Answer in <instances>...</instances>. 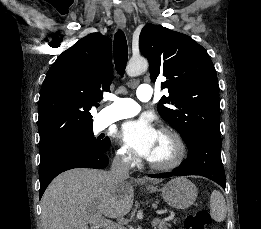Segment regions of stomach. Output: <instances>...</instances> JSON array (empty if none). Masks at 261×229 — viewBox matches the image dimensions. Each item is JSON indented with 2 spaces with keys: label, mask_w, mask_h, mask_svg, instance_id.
Wrapping results in <instances>:
<instances>
[{
  "label": "stomach",
  "mask_w": 261,
  "mask_h": 229,
  "mask_svg": "<svg viewBox=\"0 0 261 229\" xmlns=\"http://www.w3.org/2000/svg\"><path fill=\"white\" fill-rule=\"evenodd\" d=\"M149 193H156L160 189L156 187H147ZM162 197L170 207L173 209H188L191 205H194L198 191L189 179H184V177H177V179H172L169 183L164 185L161 189Z\"/></svg>",
  "instance_id": "stomach-1"
}]
</instances>
